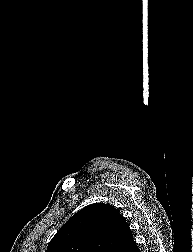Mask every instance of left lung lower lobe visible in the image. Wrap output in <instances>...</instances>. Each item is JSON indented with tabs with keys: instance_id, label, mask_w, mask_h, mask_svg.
Returning a JSON list of instances; mask_svg holds the SVG:
<instances>
[{
	"instance_id": "left-lung-lower-lobe-1",
	"label": "left lung lower lobe",
	"mask_w": 193,
	"mask_h": 252,
	"mask_svg": "<svg viewBox=\"0 0 193 252\" xmlns=\"http://www.w3.org/2000/svg\"><path fill=\"white\" fill-rule=\"evenodd\" d=\"M123 252H140V249L134 242L133 238L130 240V242L127 244Z\"/></svg>"
}]
</instances>
